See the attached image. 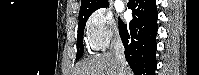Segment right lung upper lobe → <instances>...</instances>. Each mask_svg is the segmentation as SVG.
<instances>
[{"label": "right lung upper lobe", "mask_w": 199, "mask_h": 75, "mask_svg": "<svg viewBox=\"0 0 199 75\" xmlns=\"http://www.w3.org/2000/svg\"><path fill=\"white\" fill-rule=\"evenodd\" d=\"M106 3L108 0H81L79 16L85 15Z\"/></svg>", "instance_id": "right-lung-upper-lobe-1"}]
</instances>
